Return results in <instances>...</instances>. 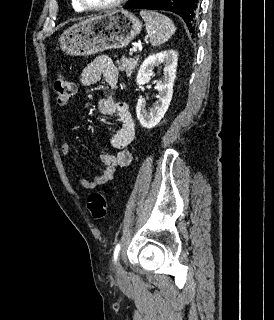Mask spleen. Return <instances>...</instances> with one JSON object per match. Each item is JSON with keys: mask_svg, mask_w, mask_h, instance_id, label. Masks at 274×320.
<instances>
[{"mask_svg": "<svg viewBox=\"0 0 274 320\" xmlns=\"http://www.w3.org/2000/svg\"><path fill=\"white\" fill-rule=\"evenodd\" d=\"M140 16L145 22L151 46H160V44L167 42L170 36H173L175 26L167 16L152 12V10H141Z\"/></svg>", "mask_w": 274, "mask_h": 320, "instance_id": "3e777b00", "label": "spleen"}]
</instances>
